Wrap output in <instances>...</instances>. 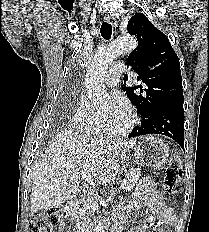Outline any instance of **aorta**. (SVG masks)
I'll return each instance as SVG.
<instances>
[{"label":"aorta","mask_w":209,"mask_h":232,"mask_svg":"<svg viewBox=\"0 0 209 232\" xmlns=\"http://www.w3.org/2000/svg\"><path fill=\"white\" fill-rule=\"evenodd\" d=\"M137 44V40L134 37L127 35L115 39L107 47L95 54L87 68L85 88L89 99L96 109L105 110L108 106L109 95L103 81L109 65L119 55L134 50ZM94 232H105L104 220L98 222Z\"/></svg>","instance_id":"762f6f07"}]
</instances>
